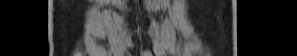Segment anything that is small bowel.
I'll list each match as a JSON object with an SVG mask.
<instances>
[{"label":"small bowel","mask_w":297,"mask_h":56,"mask_svg":"<svg viewBox=\"0 0 297 56\" xmlns=\"http://www.w3.org/2000/svg\"><path fill=\"white\" fill-rule=\"evenodd\" d=\"M141 54H142L143 56H148V55H149L148 52H147L146 50H142V51H141Z\"/></svg>","instance_id":"1"}]
</instances>
